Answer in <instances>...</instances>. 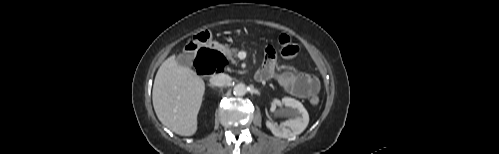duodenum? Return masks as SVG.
<instances>
[{
  "instance_id": "410a0bca",
  "label": "duodenum",
  "mask_w": 499,
  "mask_h": 154,
  "mask_svg": "<svg viewBox=\"0 0 499 154\" xmlns=\"http://www.w3.org/2000/svg\"><path fill=\"white\" fill-rule=\"evenodd\" d=\"M214 54H217L214 52ZM210 55L208 54H202L198 56L197 62H196V69L197 72L201 75L205 74H212L217 72L215 69L214 65L216 64L214 59L209 57ZM219 71V70H218Z\"/></svg>"
}]
</instances>
